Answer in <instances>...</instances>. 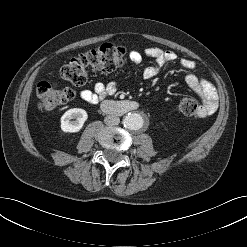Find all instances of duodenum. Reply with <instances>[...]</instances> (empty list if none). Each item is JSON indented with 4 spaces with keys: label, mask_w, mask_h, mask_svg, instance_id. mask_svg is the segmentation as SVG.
<instances>
[{
    "label": "duodenum",
    "mask_w": 247,
    "mask_h": 247,
    "mask_svg": "<svg viewBox=\"0 0 247 247\" xmlns=\"http://www.w3.org/2000/svg\"><path fill=\"white\" fill-rule=\"evenodd\" d=\"M139 107V103L133 100H105L101 103V108L103 111L114 115L127 114L138 110Z\"/></svg>",
    "instance_id": "duodenum-1"
}]
</instances>
